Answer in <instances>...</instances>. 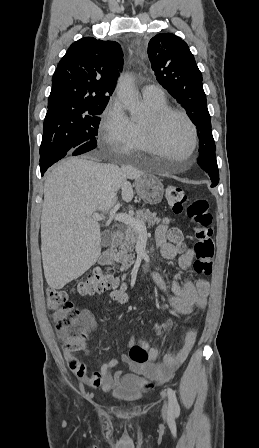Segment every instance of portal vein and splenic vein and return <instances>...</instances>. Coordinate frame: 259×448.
I'll list each match as a JSON object with an SVG mask.
<instances>
[{
	"mask_svg": "<svg viewBox=\"0 0 259 448\" xmlns=\"http://www.w3.org/2000/svg\"><path fill=\"white\" fill-rule=\"evenodd\" d=\"M93 220L96 222H100V220H104L105 216H101V214H93ZM109 218L115 220V222H123V224H128V226H133L134 230H137L139 234H147L146 226L144 222H140V220H136L133 216H128V214H115V212H110Z\"/></svg>",
	"mask_w": 259,
	"mask_h": 448,
	"instance_id": "obj_1",
	"label": "portal vein and splenic vein"
}]
</instances>
